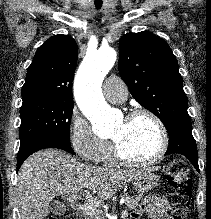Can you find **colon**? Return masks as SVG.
Wrapping results in <instances>:
<instances>
[{
    "mask_svg": "<svg viewBox=\"0 0 211 219\" xmlns=\"http://www.w3.org/2000/svg\"><path fill=\"white\" fill-rule=\"evenodd\" d=\"M166 201L172 209L173 219H185L190 202L192 183L188 178V166L180 159L172 161L165 171ZM48 219H60L48 217ZM67 219H75L72 215Z\"/></svg>",
    "mask_w": 211,
    "mask_h": 219,
    "instance_id": "colon-1",
    "label": "colon"
}]
</instances>
